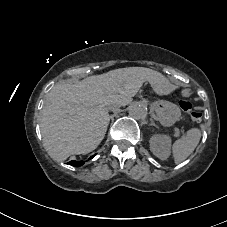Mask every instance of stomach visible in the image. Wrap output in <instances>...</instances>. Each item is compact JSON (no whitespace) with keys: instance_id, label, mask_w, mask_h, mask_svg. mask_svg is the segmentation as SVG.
<instances>
[{"instance_id":"0dacf381","label":"stomach","mask_w":227,"mask_h":227,"mask_svg":"<svg viewBox=\"0 0 227 227\" xmlns=\"http://www.w3.org/2000/svg\"><path fill=\"white\" fill-rule=\"evenodd\" d=\"M153 109L156 113L157 120L165 127L172 126L180 120V108L174 103L159 100L154 102Z\"/></svg>"}]
</instances>
